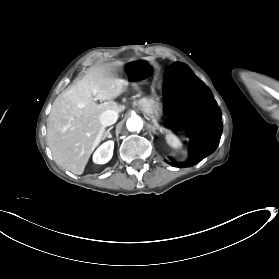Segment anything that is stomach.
I'll return each mask as SVG.
<instances>
[{
  "label": "stomach",
  "mask_w": 279,
  "mask_h": 279,
  "mask_svg": "<svg viewBox=\"0 0 279 279\" xmlns=\"http://www.w3.org/2000/svg\"><path fill=\"white\" fill-rule=\"evenodd\" d=\"M159 111H160V109H159V106H158L157 103H154V104H153V107L147 110V112H148L149 114H154V115H155V116L152 117V121H153V123H154L155 126L157 125L156 116H158Z\"/></svg>",
  "instance_id": "0dacf381"
}]
</instances>
